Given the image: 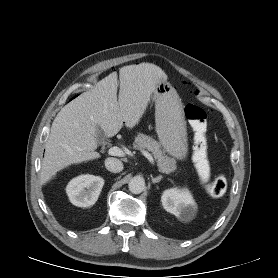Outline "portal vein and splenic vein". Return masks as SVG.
<instances>
[{"mask_svg":"<svg viewBox=\"0 0 278 278\" xmlns=\"http://www.w3.org/2000/svg\"><path fill=\"white\" fill-rule=\"evenodd\" d=\"M141 153L149 160V162L152 165H155L154 159H153V157L151 156V154L149 152H147L145 150H141ZM108 154L112 155V156H119V157H122V156L125 155V153L122 151V149H120L117 146L111 147L108 150Z\"/></svg>","mask_w":278,"mask_h":278,"instance_id":"18ae733b","label":"portal vein and splenic vein"}]
</instances>
